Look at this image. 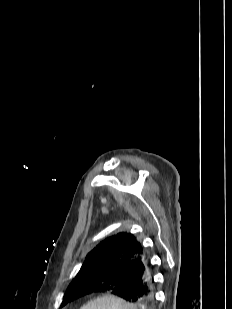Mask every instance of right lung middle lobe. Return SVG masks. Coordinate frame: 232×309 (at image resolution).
I'll return each instance as SVG.
<instances>
[{
	"label": "right lung middle lobe",
	"instance_id": "1",
	"mask_svg": "<svg viewBox=\"0 0 232 309\" xmlns=\"http://www.w3.org/2000/svg\"><path fill=\"white\" fill-rule=\"evenodd\" d=\"M128 279V274L112 273L107 271H96L76 277L66 290L61 307L86 295V290L89 286H100L104 283V281H109L112 283L114 281L122 280L126 282Z\"/></svg>",
	"mask_w": 232,
	"mask_h": 309
}]
</instances>
